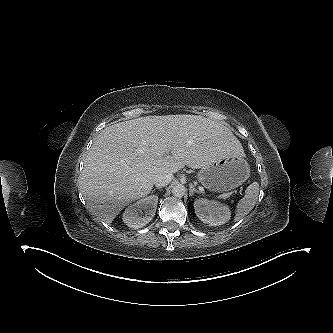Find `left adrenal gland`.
Here are the masks:
<instances>
[{"instance_id": "obj_1", "label": "left adrenal gland", "mask_w": 333, "mask_h": 333, "mask_svg": "<svg viewBox=\"0 0 333 333\" xmlns=\"http://www.w3.org/2000/svg\"><path fill=\"white\" fill-rule=\"evenodd\" d=\"M194 193L200 194V192L194 187V185H190V189H189V196H193Z\"/></svg>"}]
</instances>
